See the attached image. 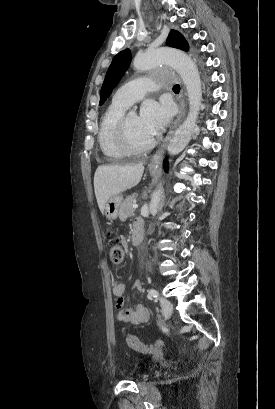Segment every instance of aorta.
<instances>
[{
	"instance_id": "1",
	"label": "aorta",
	"mask_w": 275,
	"mask_h": 409,
	"mask_svg": "<svg viewBox=\"0 0 275 409\" xmlns=\"http://www.w3.org/2000/svg\"><path fill=\"white\" fill-rule=\"evenodd\" d=\"M133 66L136 70H146L148 65L169 64L174 70L180 74L187 90L189 100V112L180 124L179 128L175 130L170 142L167 146L169 154H178L181 152L188 142L191 140L193 132L197 126L196 120L198 118L202 88L199 70L186 52L177 50V48H158L157 51H134L132 54ZM130 116H136L135 108L129 110ZM161 190H155L151 196L149 211H157L160 202Z\"/></svg>"
}]
</instances>
